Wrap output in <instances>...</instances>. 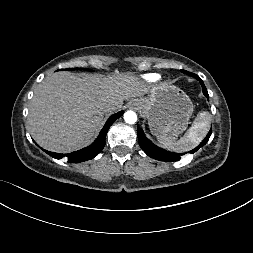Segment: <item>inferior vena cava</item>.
Wrapping results in <instances>:
<instances>
[{"mask_svg": "<svg viewBox=\"0 0 253 253\" xmlns=\"http://www.w3.org/2000/svg\"><path fill=\"white\" fill-rule=\"evenodd\" d=\"M113 109H114V106L111 105V104H109V105L106 106V109H105V110H106L107 112H110V111H112Z\"/></svg>", "mask_w": 253, "mask_h": 253, "instance_id": "1", "label": "inferior vena cava"}]
</instances>
